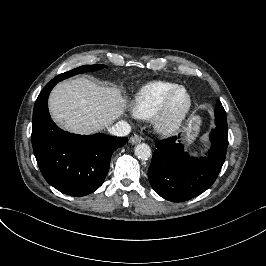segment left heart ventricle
I'll use <instances>...</instances> for the list:
<instances>
[{"mask_svg": "<svg viewBox=\"0 0 266 266\" xmlns=\"http://www.w3.org/2000/svg\"><path fill=\"white\" fill-rule=\"evenodd\" d=\"M188 107V96L184 90L178 91L169 111V121L174 122L181 118Z\"/></svg>", "mask_w": 266, "mask_h": 266, "instance_id": "obj_1", "label": "left heart ventricle"}]
</instances>
